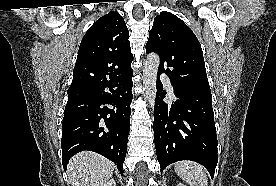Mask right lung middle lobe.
Returning <instances> with one entry per match:
<instances>
[{
	"label": "right lung middle lobe",
	"instance_id": "1",
	"mask_svg": "<svg viewBox=\"0 0 276 186\" xmlns=\"http://www.w3.org/2000/svg\"><path fill=\"white\" fill-rule=\"evenodd\" d=\"M91 89H78V90H72V91H68V100H72L74 98H76L77 96H79V94L85 93L87 91H89Z\"/></svg>",
	"mask_w": 276,
	"mask_h": 186
}]
</instances>
